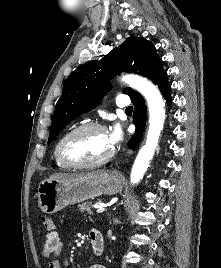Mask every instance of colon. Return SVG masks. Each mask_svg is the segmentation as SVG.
I'll return each mask as SVG.
<instances>
[{"label": "colon", "instance_id": "1", "mask_svg": "<svg viewBox=\"0 0 221 268\" xmlns=\"http://www.w3.org/2000/svg\"><path fill=\"white\" fill-rule=\"evenodd\" d=\"M41 222L45 230L50 231L54 229L55 223L52 217L49 216H43L41 218Z\"/></svg>", "mask_w": 221, "mask_h": 268}]
</instances>
